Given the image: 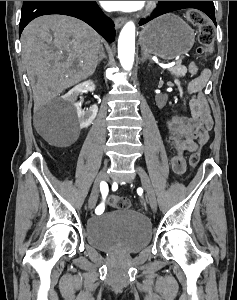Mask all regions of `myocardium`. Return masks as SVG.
I'll return each mask as SVG.
<instances>
[{"mask_svg": "<svg viewBox=\"0 0 237 300\" xmlns=\"http://www.w3.org/2000/svg\"><path fill=\"white\" fill-rule=\"evenodd\" d=\"M154 8V1H146L144 9H143V14L144 15H149Z\"/></svg>", "mask_w": 237, "mask_h": 300, "instance_id": "myocardium-1", "label": "myocardium"}]
</instances>
